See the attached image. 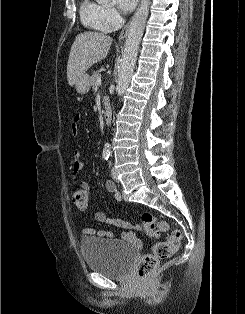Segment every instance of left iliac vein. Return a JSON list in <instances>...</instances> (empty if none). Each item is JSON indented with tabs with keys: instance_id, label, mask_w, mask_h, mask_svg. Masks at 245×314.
<instances>
[{
	"instance_id": "obj_1",
	"label": "left iliac vein",
	"mask_w": 245,
	"mask_h": 314,
	"mask_svg": "<svg viewBox=\"0 0 245 314\" xmlns=\"http://www.w3.org/2000/svg\"><path fill=\"white\" fill-rule=\"evenodd\" d=\"M111 176L113 178L114 181L118 182V177H117V173H116V170L112 167L111 169Z\"/></svg>"
}]
</instances>
